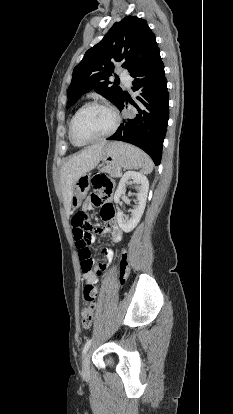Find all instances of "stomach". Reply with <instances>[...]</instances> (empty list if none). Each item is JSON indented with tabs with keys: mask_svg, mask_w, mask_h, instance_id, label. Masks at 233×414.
I'll list each match as a JSON object with an SVG mask.
<instances>
[{
	"mask_svg": "<svg viewBox=\"0 0 233 414\" xmlns=\"http://www.w3.org/2000/svg\"><path fill=\"white\" fill-rule=\"evenodd\" d=\"M102 161L109 168L137 169L144 163V153L129 144L122 142L107 143L103 150ZM90 175L87 172L80 174L77 185L74 187L72 207L81 204L86 195L85 189L89 186Z\"/></svg>",
	"mask_w": 233,
	"mask_h": 414,
	"instance_id": "0dacf381",
	"label": "stomach"
}]
</instances>
